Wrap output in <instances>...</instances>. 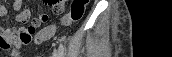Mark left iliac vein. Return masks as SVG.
Here are the masks:
<instances>
[{
	"label": "left iliac vein",
	"mask_w": 172,
	"mask_h": 57,
	"mask_svg": "<svg viewBox=\"0 0 172 57\" xmlns=\"http://www.w3.org/2000/svg\"><path fill=\"white\" fill-rule=\"evenodd\" d=\"M54 57H58V54L56 51H54Z\"/></svg>",
	"instance_id": "1"
}]
</instances>
